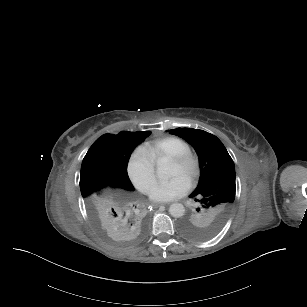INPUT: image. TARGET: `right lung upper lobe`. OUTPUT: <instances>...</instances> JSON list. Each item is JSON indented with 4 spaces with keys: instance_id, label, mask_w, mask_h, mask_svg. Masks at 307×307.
I'll return each instance as SVG.
<instances>
[{
    "instance_id": "cb5924a9",
    "label": "right lung upper lobe",
    "mask_w": 307,
    "mask_h": 307,
    "mask_svg": "<svg viewBox=\"0 0 307 307\" xmlns=\"http://www.w3.org/2000/svg\"><path fill=\"white\" fill-rule=\"evenodd\" d=\"M150 131L105 134L88 150L89 154L107 163L113 172L112 179L103 187L83 197V203L100 227L108 231L130 230L140 233L147 225L148 213L136 195L127 174L132 151ZM110 186L112 189L104 190Z\"/></svg>"
}]
</instances>
